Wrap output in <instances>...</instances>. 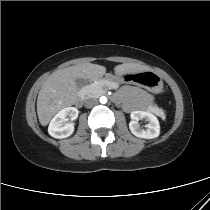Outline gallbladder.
<instances>
[{"mask_svg": "<svg viewBox=\"0 0 210 210\" xmlns=\"http://www.w3.org/2000/svg\"><path fill=\"white\" fill-rule=\"evenodd\" d=\"M76 84H77L78 88H82L83 86L88 84V81L85 79H82V78H77Z\"/></svg>", "mask_w": 210, "mask_h": 210, "instance_id": "bac80fb5", "label": "gallbladder"}]
</instances>
